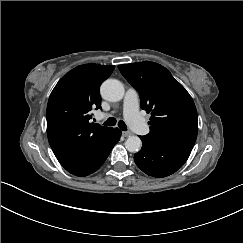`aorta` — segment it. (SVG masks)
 I'll return each mask as SVG.
<instances>
[{
  "mask_svg": "<svg viewBox=\"0 0 243 243\" xmlns=\"http://www.w3.org/2000/svg\"><path fill=\"white\" fill-rule=\"evenodd\" d=\"M101 95L111 102L121 101L125 95L123 84L115 79L106 80L101 86ZM141 140L138 136H129L125 141V147L129 152H137L141 148Z\"/></svg>",
  "mask_w": 243,
  "mask_h": 243,
  "instance_id": "aorta-1",
  "label": "aorta"
}]
</instances>
